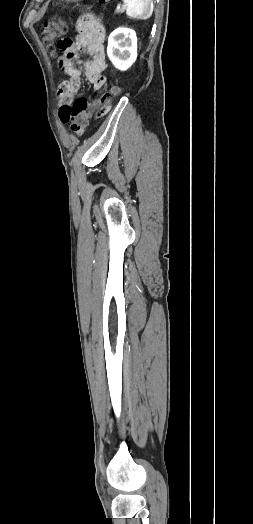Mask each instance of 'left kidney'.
<instances>
[{"label":"left kidney","instance_id":"obj_1","mask_svg":"<svg viewBox=\"0 0 253 524\" xmlns=\"http://www.w3.org/2000/svg\"><path fill=\"white\" fill-rule=\"evenodd\" d=\"M107 55L119 70H127L137 58V37L135 31L118 28L108 37Z\"/></svg>","mask_w":253,"mask_h":524}]
</instances>
